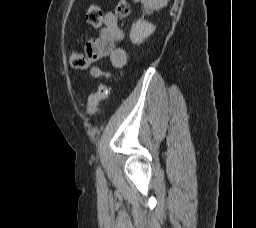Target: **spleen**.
<instances>
[{"label":"spleen","mask_w":256,"mask_h":228,"mask_svg":"<svg viewBox=\"0 0 256 228\" xmlns=\"http://www.w3.org/2000/svg\"><path fill=\"white\" fill-rule=\"evenodd\" d=\"M135 1V0H134ZM147 14H151L154 10L164 8L169 0H140Z\"/></svg>","instance_id":"1"}]
</instances>
